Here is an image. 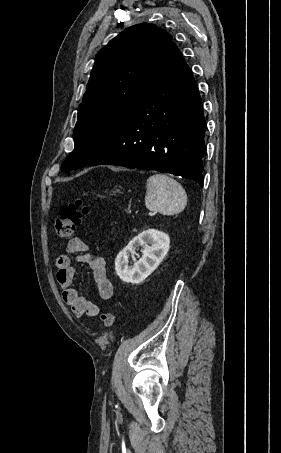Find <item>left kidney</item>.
<instances>
[{
	"mask_svg": "<svg viewBox=\"0 0 281 453\" xmlns=\"http://www.w3.org/2000/svg\"><path fill=\"white\" fill-rule=\"evenodd\" d=\"M138 247H143L141 251L142 257L139 261H136L135 265L129 267L130 255H136V249ZM169 249V235L162 233V231H156V229L143 231V233L134 237L125 249H122L118 253L115 259L116 275L124 283L139 285V283H143L146 277H149L157 269L158 265L166 257Z\"/></svg>",
	"mask_w": 281,
	"mask_h": 453,
	"instance_id": "obj_1",
	"label": "left kidney"
}]
</instances>
